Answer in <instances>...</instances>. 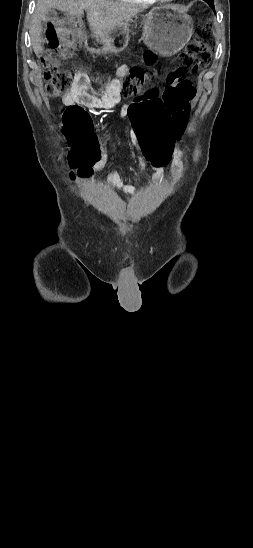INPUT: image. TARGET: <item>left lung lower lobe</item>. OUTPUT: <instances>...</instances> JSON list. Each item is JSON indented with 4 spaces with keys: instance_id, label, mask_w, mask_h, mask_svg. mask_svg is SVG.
Masks as SVG:
<instances>
[{
    "instance_id": "1",
    "label": "left lung lower lobe",
    "mask_w": 253,
    "mask_h": 548,
    "mask_svg": "<svg viewBox=\"0 0 253 548\" xmlns=\"http://www.w3.org/2000/svg\"><path fill=\"white\" fill-rule=\"evenodd\" d=\"M204 1H206L210 5V7L214 10V1L213 0H204Z\"/></svg>"
}]
</instances>
